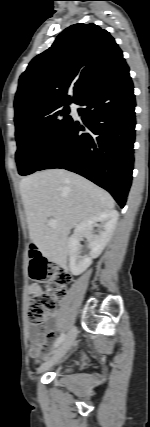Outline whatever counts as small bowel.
Instances as JSON below:
<instances>
[{
    "label": "small bowel",
    "mask_w": 150,
    "mask_h": 427,
    "mask_svg": "<svg viewBox=\"0 0 150 427\" xmlns=\"http://www.w3.org/2000/svg\"><path fill=\"white\" fill-rule=\"evenodd\" d=\"M52 322L47 324L43 330L34 328L30 332V347H29V356L31 358H39L43 353H45L52 339Z\"/></svg>",
    "instance_id": "1"
}]
</instances>
